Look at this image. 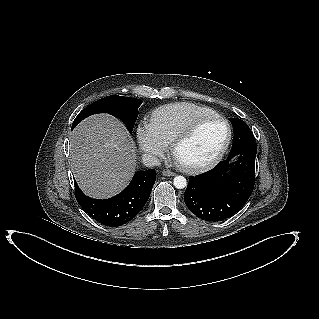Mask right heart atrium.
I'll return each instance as SVG.
<instances>
[{"label":"right heart atrium","mask_w":319,"mask_h":319,"mask_svg":"<svg viewBox=\"0 0 319 319\" xmlns=\"http://www.w3.org/2000/svg\"><path fill=\"white\" fill-rule=\"evenodd\" d=\"M135 132L139 148L150 161L157 162L165 155L168 144L154 131L149 122H140Z\"/></svg>","instance_id":"d8ad5b80"}]
</instances>
